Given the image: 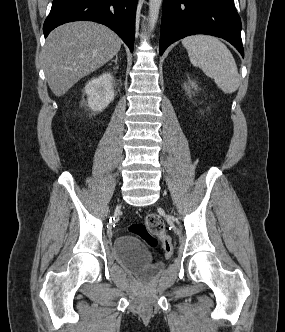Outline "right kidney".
<instances>
[{"instance_id":"obj_1","label":"right kidney","mask_w":285,"mask_h":332,"mask_svg":"<svg viewBox=\"0 0 285 332\" xmlns=\"http://www.w3.org/2000/svg\"><path fill=\"white\" fill-rule=\"evenodd\" d=\"M112 81L113 76L107 72L91 79L85 85L84 92L88 96V106L91 110L101 112L114 100Z\"/></svg>"}]
</instances>
